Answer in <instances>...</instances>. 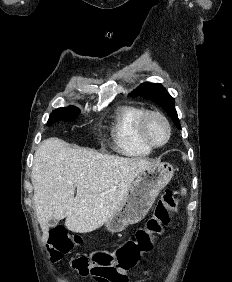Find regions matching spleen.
Here are the masks:
<instances>
[{"label": "spleen", "mask_w": 232, "mask_h": 282, "mask_svg": "<svg viewBox=\"0 0 232 282\" xmlns=\"http://www.w3.org/2000/svg\"><path fill=\"white\" fill-rule=\"evenodd\" d=\"M182 194L185 195L186 194V189L182 188Z\"/></svg>", "instance_id": "obj_1"}]
</instances>
